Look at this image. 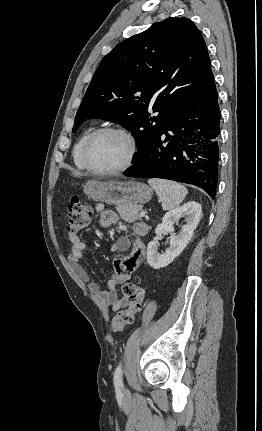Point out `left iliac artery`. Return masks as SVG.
<instances>
[{"instance_id": "left-iliac-artery-1", "label": "left iliac artery", "mask_w": 262, "mask_h": 431, "mask_svg": "<svg viewBox=\"0 0 262 431\" xmlns=\"http://www.w3.org/2000/svg\"><path fill=\"white\" fill-rule=\"evenodd\" d=\"M122 367H121V365H118L117 366V368H116V370H115V373H114V384L116 385V386H122L123 385V383H122Z\"/></svg>"}]
</instances>
